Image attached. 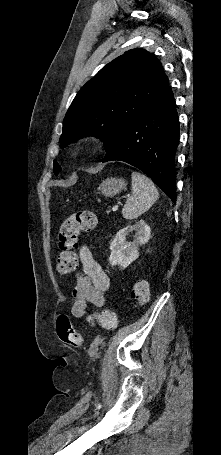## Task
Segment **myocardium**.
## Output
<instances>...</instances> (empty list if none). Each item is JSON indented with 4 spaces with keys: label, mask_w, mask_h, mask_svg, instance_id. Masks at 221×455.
Returning <instances> with one entry per match:
<instances>
[{
    "label": "myocardium",
    "mask_w": 221,
    "mask_h": 455,
    "mask_svg": "<svg viewBox=\"0 0 221 455\" xmlns=\"http://www.w3.org/2000/svg\"><path fill=\"white\" fill-rule=\"evenodd\" d=\"M93 146V143L91 141H87L84 145H83V148L85 150H90Z\"/></svg>",
    "instance_id": "1"
}]
</instances>
